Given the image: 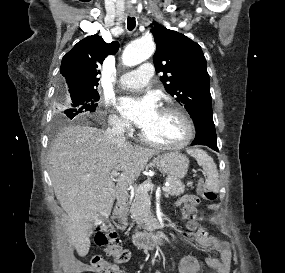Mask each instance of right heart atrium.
<instances>
[{"mask_svg":"<svg viewBox=\"0 0 285 273\" xmlns=\"http://www.w3.org/2000/svg\"><path fill=\"white\" fill-rule=\"evenodd\" d=\"M109 124L118 133H126L130 130L129 123L116 114H110L108 117Z\"/></svg>","mask_w":285,"mask_h":273,"instance_id":"d8ad5b80","label":"right heart atrium"}]
</instances>
